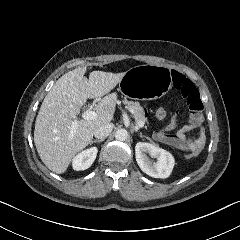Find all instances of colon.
I'll use <instances>...</instances> for the list:
<instances>
[{
  "label": "colon",
  "instance_id": "colon-1",
  "mask_svg": "<svg viewBox=\"0 0 240 240\" xmlns=\"http://www.w3.org/2000/svg\"><path fill=\"white\" fill-rule=\"evenodd\" d=\"M174 82L176 84V88L179 91H182L183 97L188 100V115L190 119L193 121L196 127H198L203 120L202 110H203V102L199 96V92L196 87L188 83L189 79L186 76H182L180 74L175 75ZM156 117L158 119H166L167 113L163 111V107H158V111L156 112ZM202 152V141H197L193 143V146L190 147V151L186 152V157L190 158L191 156H195L198 153Z\"/></svg>",
  "mask_w": 240,
  "mask_h": 240
}]
</instances>
